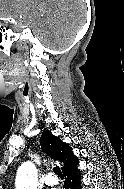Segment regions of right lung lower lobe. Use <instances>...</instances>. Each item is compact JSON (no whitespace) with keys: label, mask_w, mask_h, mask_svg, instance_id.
<instances>
[{"label":"right lung lower lobe","mask_w":124,"mask_h":189,"mask_svg":"<svg viewBox=\"0 0 124 189\" xmlns=\"http://www.w3.org/2000/svg\"><path fill=\"white\" fill-rule=\"evenodd\" d=\"M77 164H78V161L63 171L66 178L65 183H64L65 189H81L82 188V185L80 183V178H81L80 173L78 172V169L75 168Z\"/></svg>","instance_id":"obj_1"}]
</instances>
